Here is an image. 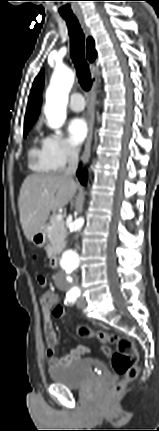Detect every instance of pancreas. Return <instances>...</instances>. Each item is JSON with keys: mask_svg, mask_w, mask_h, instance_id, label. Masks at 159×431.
<instances>
[{"mask_svg": "<svg viewBox=\"0 0 159 431\" xmlns=\"http://www.w3.org/2000/svg\"><path fill=\"white\" fill-rule=\"evenodd\" d=\"M53 216L50 224L46 226L45 232L49 239L46 251L49 257H52L62 251L66 238V228L64 221L57 222Z\"/></svg>", "mask_w": 159, "mask_h": 431, "instance_id": "pancreas-1", "label": "pancreas"}]
</instances>
